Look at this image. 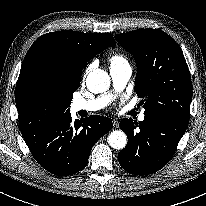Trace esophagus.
I'll return each instance as SVG.
<instances>
[{"instance_id": "1", "label": "esophagus", "mask_w": 206, "mask_h": 206, "mask_svg": "<svg viewBox=\"0 0 206 206\" xmlns=\"http://www.w3.org/2000/svg\"><path fill=\"white\" fill-rule=\"evenodd\" d=\"M113 126L115 127V128H118L119 127V122H118V120H116V119H113Z\"/></svg>"}]
</instances>
